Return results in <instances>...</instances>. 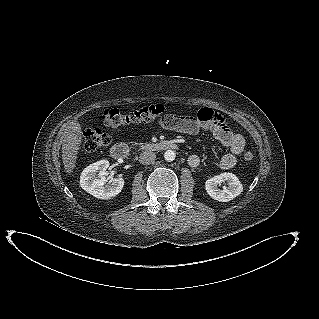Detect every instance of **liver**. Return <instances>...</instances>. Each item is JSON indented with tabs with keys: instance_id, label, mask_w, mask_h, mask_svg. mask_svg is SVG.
<instances>
[{
	"instance_id": "1",
	"label": "liver",
	"mask_w": 319,
	"mask_h": 319,
	"mask_svg": "<svg viewBox=\"0 0 319 319\" xmlns=\"http://www.w3.org/2000/svg\"><path fill=\"white\" fill-rule=\"evenodd\" d=\"M81 126L77 121L66 127L62 138V161L65 172L71 173L76 166L78 151L82 141Z\"/></svg>"
}]
</instances>
